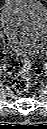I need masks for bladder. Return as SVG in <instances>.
<instances>
[{
	"instance_id": "obj_1",
	"label": "bladder",
	"mask_w": 47,
	"mask_h": 129,
	"mask_svg": "<svg viewBox=\"0 0 47 129\" xmlns=\"http://www.w3.org/2000/svg\"><path fill=\"white\" fill-rule=\"evenodd\" d=\"M1 28L7 45L21 56L38 53L47 38V11L40 0H6Z\"/></svg>"
}]
</instances>
